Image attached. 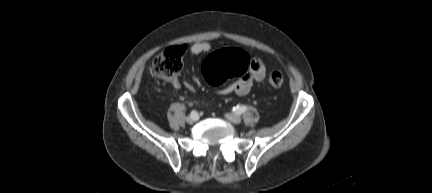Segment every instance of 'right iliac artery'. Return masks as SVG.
<instances>
[{"label":"right iliac artery","instance_id":"82829eb1","mask_svg":"<svg viewBox=\"0 0 432 193\" xmlns=\"http://www.w3.org/2000/svg\"><path fill=\"white\" fill-rule=\"evenodd\" d=\"M190 115H191V116H196V115H197V112H196L195 110H193V111H191Z\"/></svg>","mask_w":432,"mask_h":193}]
</instances>
